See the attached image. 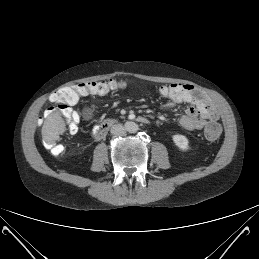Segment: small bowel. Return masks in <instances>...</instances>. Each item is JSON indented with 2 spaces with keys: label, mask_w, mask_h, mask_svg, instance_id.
Instances as JSON below:
<instances>
[{
  "label": "small bowel",
  "mask_w": 259,
  "mask_h": 259,
  "mask_svg": "<svg viewBox=\"0 0 259 259\" xmlns=\"http://www.w3.org/2000/svg\"><path fill=\"white\" fill-rule=\"evenodd\" d=\"M168 101L165 103V109H172L177 104L181 103H191L192 105L188 106L185 113L180 118V124L183 128L189 131L200 130L202 129L207 122L215 121L218 117L216 109L210 105L209 100L206 96L205 99L194 101L190 99L187 102H182L178 97H166ZM208 122V123H209ZM99 125L96 124L91 130V135L96 137Z\"/></svg>",
  "instance_id": "c3829d8e"
}]
</instances>
